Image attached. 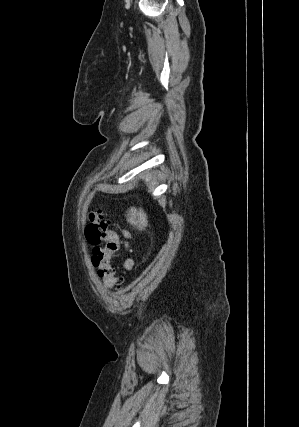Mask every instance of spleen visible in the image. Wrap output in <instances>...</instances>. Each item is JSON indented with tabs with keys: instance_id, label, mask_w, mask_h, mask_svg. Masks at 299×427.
<instances>
[{
	"instance_id": "spleen-1",
	"label": "spleen",
	"mask_w": 299,
	"mask_h": 427,
	"mask_svg": "<svg viewBox=\"0 0 299 427\" xmlns=\"http://www.w3.org/2000/svg\"><path fill=\"white\" fill-rule=\"evenodd\" d=\"M127 221L133 225L137 226L139 230L144 229L147 226V216L142 209L139 211L132 207L127 214Z\"/></svg>"
}]
</instances>
